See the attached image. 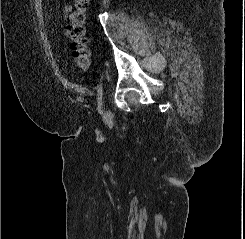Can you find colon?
Listing matches in <instances>:
<instances>
[{
    "label": "colon",
    "instance_id": "5ec220e1",
    "mask_svg": "<svg viewBox=\"0 0 245 239\" xmlns=\"http://www.w3.org/2000/svg\"><path fill=\"white\" fill-rule=\"evenodd\" d=\"M89 3L90 0H75V10L71 14V22L67 27L73 59L83 72H87L91 64V54L84 28Z\"/></svg>",
    "mask_w": 245,
    "mask_h": 239
}]
</instances>
